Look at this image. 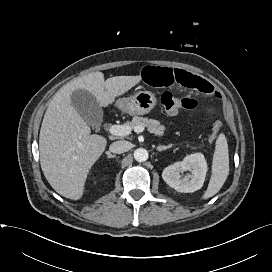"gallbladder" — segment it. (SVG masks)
Returning a JSON list of instances; mask_svg holds the SVG:
<instances>
[{
    "instance_id": "1",
    "label": "gallbladder",
    "mask_w": 272,
    "mask_h": 272,
    "mask_svg": "<svg viewBox=\"0 0 272 272\" xmlns=\"http://www.w3.org/2000/svg\"><path fill=\"white\" fill-rule=\"evenodd\" d=\"M71 105L74 110L92 127H98L103 118V112L96 98L84 89H77L71 95Z\"/></svg>"
}]
</instances>
